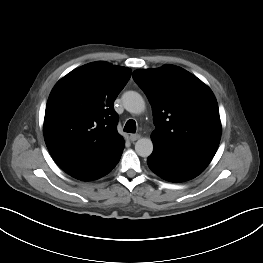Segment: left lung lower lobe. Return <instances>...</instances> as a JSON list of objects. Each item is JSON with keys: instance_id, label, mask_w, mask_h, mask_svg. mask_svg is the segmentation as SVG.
I'll use <instances>...</instances> for the list:
<instances>
[{"instance_id": "left-lung-lower-lobe-1", "label": "left lung lower lobe", "mask_w": 263, "mask_h": 263, "mask_svg": "<svg viewBox=\"0 0 263 263\" xmlns=\"http://www.w3.org/2000/svg\"><path fill=\"white\" fill-rule=\"evenodd\" d=\"M154 150L149 168L170 182H183L198 176L211 162L217 149L191 144H174L152 138Z\"/></svg>"}]
</instances>
